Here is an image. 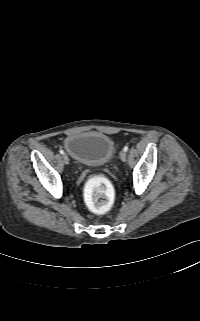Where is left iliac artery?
Listing matches in <instances>:
<instances>
[{"instance_id":"44dca946","label":"left iliac artery","mask_w":200,"mask_h":321,"mask_svg":"<svg viewBox=\"0 0 200 321\" xmlns=\"http://www.w3.org/2000/svg\"><path fill=\"white\" fill-rule=\"evenodd\" d=\"M123 150H124L125 152H127V151H128V146H125V147L123 148Z\"/></svg>"}]
</instances>
